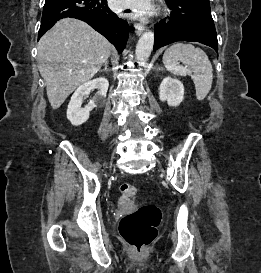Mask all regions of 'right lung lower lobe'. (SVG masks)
Returning <instances> with one entry per match:
<instances>
[{"label": "right lung lower lobe", "mask_w": 261, "mask_h": 273, "mask_svg": "<svg viewBox=\"0 0 261 273\" xmlns=\"http://www.w3.org/2000/svg\"><path fill=\"white\" fill-rule=\"evenodd\" d=\"M71 17L85 21L105 36L121 53L128 39V23L107 6L106 0H46L38 40L57 20Z\"/></svg>", "instance_id": "obj_1"}]
</instances>
